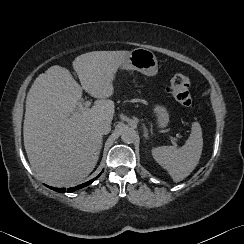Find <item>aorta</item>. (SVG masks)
Masks as SVG:
<instances>
[{
  "label": "aorta",
  "mask_w": 244,
  "mask_h": 244,
  "mask_svg": "<svg viewBox=\"0 0 244 244\" xmlns=\"http://www.w3.org/2000/svg\"><path fill=\"white\" fill-rule=\"evenodd\" d=\"M136 138V131L131 127H125L121 132V139L125 143H133Z\"/></svg>",
  "instance_id": "aorta-1"
}]
</instances>
